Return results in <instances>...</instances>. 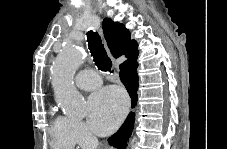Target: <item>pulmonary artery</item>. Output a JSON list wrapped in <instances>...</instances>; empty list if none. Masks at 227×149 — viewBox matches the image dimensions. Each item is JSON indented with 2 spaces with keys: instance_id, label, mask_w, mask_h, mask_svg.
I'll list each match as a JSON object with an SVG mask.
<instances>
[{
  "instance_id": "1",
  "label": "pulmonary artery",
  "mask_w": 227,
  "mask_h": 149,
  "mask_svg": "<svg viewBox=\"0 0 227 149\" xmlns=\"http://www.w3.org/2000/svg\"><path fill=\"white\" fill-rule=\"evenodd\" d=\"M75 83L78 88L89 91L98 88L101 84V79L95 71L85 69L76 74Z\"/></svg>"
}]
</instances>
